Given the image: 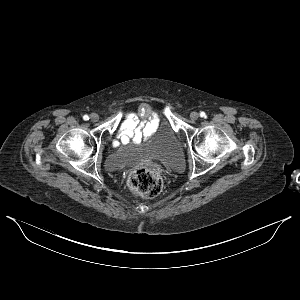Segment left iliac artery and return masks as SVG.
Masks as SVG:
<instances>
[{"label":"left iliac artery","instance_id":"left-iliac-artery-1","mask_svg":"<svg viewBox=\"0 0 300 300\" xmlns=\"http://www.w3.org/2000/svg\"><path fill=\"white\" fill-rule=\"evenodd\" d=\"M200 117L205 118V117H206L205 112H201V113H200Z\"/></svg>","mask_w":300,"mask_h":300}]
</instances>
